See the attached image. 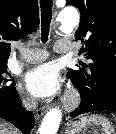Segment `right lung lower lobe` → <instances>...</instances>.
Wrapping results in <instances>:
<instances>
[{
    "mask_svg": "<svg viewBox=\"0 0 116 134\" xmlns=\"http://www.w3.org/2000/svg\"><path fill=\"white\" fill-rule=\"evenodd\" d=\"M0 118L11 122L24 134H29L34 126L33 114L25 111L18 95L13 101L0 104Z\"/></svg>",
    "mask_w": 116,
    "mask_h": 134,
    "instance_id": "1",
    "label": "right lung lower lobe"
}]
</instances>
